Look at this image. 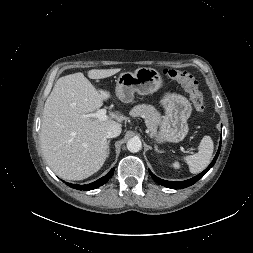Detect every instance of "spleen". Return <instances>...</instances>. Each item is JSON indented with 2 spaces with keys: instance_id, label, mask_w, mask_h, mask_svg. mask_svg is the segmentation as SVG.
<instances>
[{
  "instance_id": "spleen-1",
  "label": "spleen",
  "mask_w": 253,
  "mask_h": 253,
  "mask_svg": "<svg viewBox=\"0 0 253 253\" xmlns=\"http://www.w3.org/2000/svg\"><path fill=\"white\" fill-rule=\"evenodd\" d=\"M196 154L184 157V161L189 166V171L193 174L204 170L210 163L213 154V141L210 136H204L198 147Z\"/></svg>"
}]
</instances>
